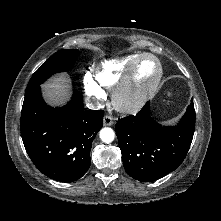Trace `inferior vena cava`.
<instances>
[{"instance_id": "1", "label": "inferior vena cava", "mask_w": 221, "mask_h": 221, "mask_svg": "<svg viewBox=\"0 0 221 221\" xmlns=\"http://www.w3.org/2000/svg\"><path fill=\"white\" fill-rule=\"evenodd\" d=\"M87 107H88L89 109H99V108H102V107H104V106L97 101V102H94V103L88 102V103H87Z\"/></svg>"}]
</instances>
